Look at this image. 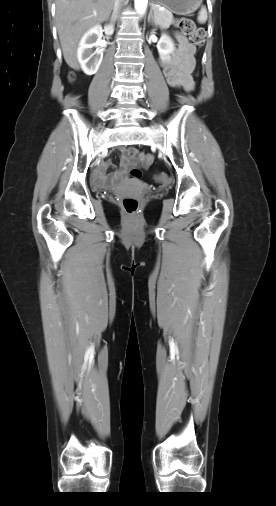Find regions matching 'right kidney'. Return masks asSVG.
Here are the masks:
<instances>
[{
	"instance_id": "ca27d5eb",
	"label": "right kidney",
	"mask_w": 276,
	"mask_h": 506,
	"mask_svg": "<svg viewBox=\"0 0 276 506\" xmlns=\"http://www.w3.org/2000/svg\"><path fill=\"white\" fill-rule=\"evenodd\" d=\"M103 32L106 35H112L114 32L113 25H107L104 29L100 25H95L80 40L77 57L82 70L87 75L95 74L102 62L103 51L98 46ZM94 47H97V49L93 52L92 48Z\"/></svg>"
}]
</instances>
